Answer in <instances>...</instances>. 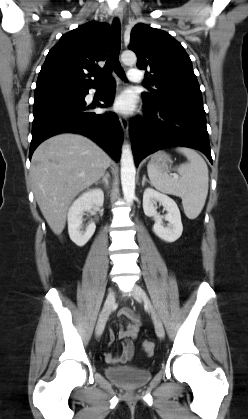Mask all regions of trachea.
I'll return each mask as SVG.
<instances>
[{
	"instance_id": "trachea-1",
	"label": "trachea",
	"mask_w": 248,
	"mask_h": 419,
	"mask_svg": "<svg viewBox=\"0 0 248 419\" xmlns=\"http://www.w3.org/2000/svg\"><path fill=\"white\" fill-rule=\"evenodd\" d=\"M120 31V22L118 19H115L112 24L108 57L104 68L100 72L102 82L107 80L108 76L112 73L113 70L121 79L126 80L125 72L119 62V53L121 47Z\"/></svg>"
}]
</instances>
